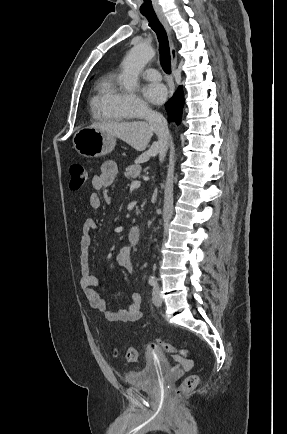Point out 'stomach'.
<instances>
[{
  "label": "stomach",
  "mask_w": 287,
  "mask_h": 434,
  "mask_svg": "<svg viewBox=\"0 0 287 434\" xmlns=\"http://www.w3.org/2000/svg\"><path fill=\"white\" fill-rule=\"evenodd\" d=\"M73 145L80 155L95 158L110 153L116 140L112 135L90 126L81 128L74 134Z\"/></svg>",
  "instance_id": "obj_1"
}]
</instances>
